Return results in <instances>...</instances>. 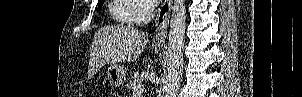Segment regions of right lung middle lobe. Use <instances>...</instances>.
<instances>
[{
  "instance_id": "dd1d6c3e",
  "label": "right lung middle lobe",
  "mask_w": 302,
  "mask_h": 97,
  "mask_svg": "<svg viewBox=\"0 0 302 97\" xmlns=\"http://www.w3.org/2000/svg\"><path fill=\"white\" fill-rule=\"evenodd\" d=\"M103 3H104V0L100 1L98 7L100 8L103 5Z\"/></svg>"
}]
</instances>
